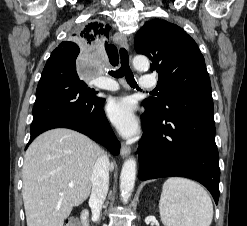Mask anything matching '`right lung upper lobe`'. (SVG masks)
Here are the masks:
<instances>
[{"mask_svg":"<svg viewBox=\"0 0 247 226\" xmlns=\"http://www.w3.org/2000/svg\"><path fill=\"white\" fill-rule=\"evenodd\" d=\"M110 27L108 25H104L100 22H91L87 24L84 29L78 34V37L85 44H102L105 42V48L109 56V61L112 65L118 64V54L117 49L113 45H108L106 38H108V32ZM59 47H68L73 49L74 51H79V47L77 44L73 42H63L59 45Z\"/></svg>","mask_w":247,"mask_h":226,"instance_id":"obj_1","label":"right lung upper lobe"}]
</instances>
